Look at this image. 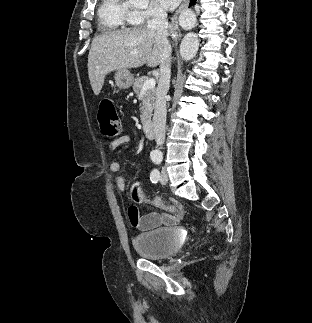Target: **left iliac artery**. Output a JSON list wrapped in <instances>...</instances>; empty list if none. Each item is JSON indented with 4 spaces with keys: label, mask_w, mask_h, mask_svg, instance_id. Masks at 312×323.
Listing matches in <instances>:
<instances>
[{
    "label": "left iliac artery",
    "mask_w": 312,
    "mask_h": 323,
    "mask_svg": "<svg viewBox=\"0 0 312 323\" xmlns=\"http://www.w3.org/2000/svg\"><path fill=\"white\" fill-rule=\"evenodd\" d=\"M153 161L158 164L162 161V159L161 158H153ZM159 178H160L159 171L157 169H154L150 174V180L152 181V183H157Z\"/></svg>",
    "instance_id": "obj_1"
}]
</instances>
